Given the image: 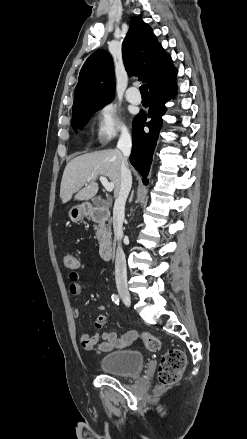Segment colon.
Wrapping results in <instances>:
<instances>
[{"mask_svg":"<svg viewBox=\"0 0 247 439\" xmlns=\"http://www.w3.org/2000/svg\"><path fill=\"white\" fill-rule=\"evenodd\" d=\"M64 264L67 268L72 270L80 269L83 266L81 261L73 254H66L64 256ZM141 340L146 348L152 352H157L162 347L161 339L152 334L143 333ZM185 366L186 355L182 350L171 349L164 353L158 368L159 387H168L177 383L181 378Z\"/></svg>","mask_w":247,"mask_h":439,"instance_id":"colon-1","label":"colon"}]
</instances>
